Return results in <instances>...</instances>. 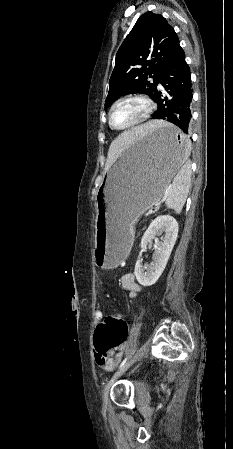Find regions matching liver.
Masks as SVG:
<instances>
[{"label": "liver", "mask_w": 233, "mask_h": 449, "mask_svg": "<svg viewBox=\"0 0 233 449\" xmlns=\"http://www.w3.org/2000/svg\"><path fill=\"white\" fill-rule=\"evenodd\" d=\"M160 120L149 121L142 125L133 127L123 133H118L117 138L111 143L107 157V168H109L118 157L135 142H141V138L151 130L163 125Z\"/></svg>", "instance_id": "1"}]
</instances>
